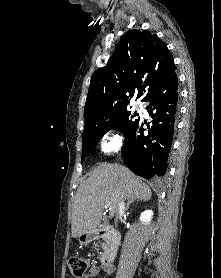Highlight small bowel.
<instances>
[{
    "label": "small bowel",
    "mask_w": 221,
    "mask_h": 278,
    "mask_svg": "<svg viewBox=\"0 0 221 278\" xmlns=\"http://www.w3.org/2000/svg\"><path fill=\"white\" fill-rule=\"evenodd\" d=\"M100 271H101V269L99 267L92 266L86 278L96 277L100 273ZM102 271L106 274L112 273V269H110V268L102 269Z\"/></svg>",
    "instance_id": "obj_1"
}]
</instances>
